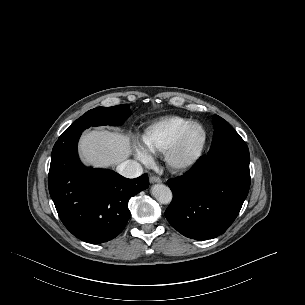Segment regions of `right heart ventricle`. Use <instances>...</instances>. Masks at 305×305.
Returning <instances> with one entry per match:
<instances>
[{
	"label": "right heart ventricle",
	"mask_w": 305,
	"mask_h": 305,
	"mask_svg": "<svg viewBox=\"0 0 305 305\" xmlns=\"http://www.w3.org/2000/svg\"><path fill=\"white\" fill-rule=\"evenodd\" d=\"M190 123V119L172 116L149 125L142 134L145 149L148 152L167 151Z\"/></svg>",
	"instance_id": "1"
}]
</instances>
